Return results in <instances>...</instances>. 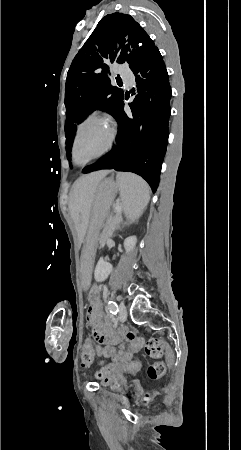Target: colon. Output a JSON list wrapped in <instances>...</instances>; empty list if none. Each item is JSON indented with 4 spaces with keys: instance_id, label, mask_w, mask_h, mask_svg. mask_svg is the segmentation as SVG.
I'll use <instances>...</instances> for the list:
<instances>
[{
    "instance_id": "1",
    "label": "colon",
    "mask_w": 241,
    "mask_h": 450,
    "mask_svg": "<svg viewBox=\"0 0 241 450\" xmlns=\"http://www.w3.org/2000/svg\"><path fill=\"white\" fill-rule=\"evenodd\" d=\"M81 358L84 359L86 366L93 364V348L94 345L90 340H87L82 345ZM172 347L166 340H160L157 338H150L145 344V353L148 356L159 358L165 354V363L163 361H157L148 368V376L153 380L160 379L165 372V366L170 368L172 366ZM137 369V366L135 367ZM151 395L146 394L143 400L144 404H147L151 400Z\"/></svg>"
}]
</instances>
